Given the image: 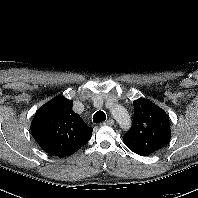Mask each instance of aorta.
Instances as JSON below:
<instances>
[{"label": "aorta", "instance_id": "obj_1", "mask_svg": "<svg viewBox=\"0 0 198 198\" xmlns=\"http://www.w3.org/2000/svg\"><path fill=\"white\" fill-rule=\"evenodd\" d=\"M111 114L124 130L130 128L131 126L130 115L124 107L120 105L113 106L111 108Z\"/></svg>", "mask_w": 198, "mask_h": 198}]
</instances>
